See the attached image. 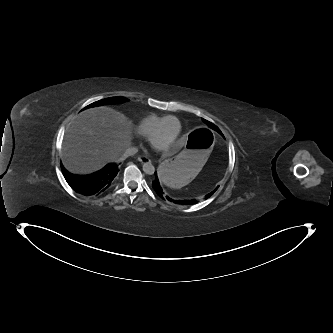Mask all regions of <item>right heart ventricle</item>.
I'll return each mask as SVG.
<instances>
[{
  "label": "right heart ventricle",
  "mask_w": 333,
  "mask_h": 333,
  "mask_svg": "<svg viewBox=\"0 0 333 333\" xmlns=\"http://www.w3.org/2000/svg\"><path fill=\"white\" fill-rule=\"evenodd\" d=\"M169 115L150 114L140 120L136 125V132L144 137H150L156 130L161 121ZM178 128H180V121L177 120Z\"/></svg>",
  "instance_id": "e07e8e85"
}]
</instances>
